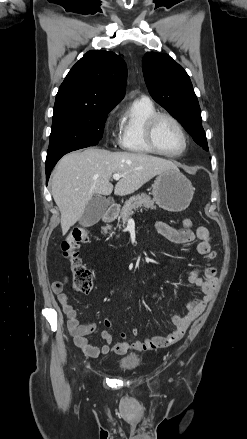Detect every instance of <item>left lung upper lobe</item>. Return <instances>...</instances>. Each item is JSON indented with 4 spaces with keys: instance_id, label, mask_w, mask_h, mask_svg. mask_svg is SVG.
<instances>
[{
    "instance_id": "left-lung-upper-lobe-1",
    "label": "left lung upper lobe",
    "mask_w": 247,
    "mask_h": 439,
    "mask_svg": "<svg viewBox=\"0 0 247 439\" xmlns=\"http://www.w3.org/2000/svg\"><path fill=\"white\" fill-rule=\"evenodd\" d=\"M144 79L152 98L174 116L208 151L201 110L186 71L169 55L147 52L142 60Z\"/></svg>"
}]
</instances>
